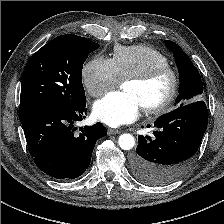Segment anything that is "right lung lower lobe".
Masks as SVG:
<instances>
[{
    "mask_svg": "<svg viewBox=\"0 0 224 224\" xmlns=\"http://www.w3.org/2000/svg\"><path fill=\"white\" fill-rule=\"evenodd\" d=\"M85 115L86 102L75 107L36 108L20 116L31 156L44 173L69 180L89 167L95 143L107 130L97 123L85 126L78 135L74 123Z\"/></svg>",
    "mask_w": 224,
    "mask_h": 224,
    "instance_id": "obj_1",
    "label": "right lung lower lobe"
}]
</instances>
